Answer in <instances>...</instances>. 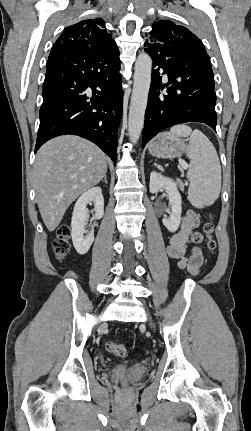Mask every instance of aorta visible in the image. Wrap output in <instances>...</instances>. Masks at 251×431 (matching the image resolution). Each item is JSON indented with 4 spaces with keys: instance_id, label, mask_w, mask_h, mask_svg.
<instances>
[{
    "instance_id": "aorta-1",
    "label": "aorta",
    "mask_w": 251,
    "mask_h": 431,
    "mask_svg": "<svg viewBox=\"0 0 251 431\" xmlns=\"http://www.w3.org/2000/svg\"><path fill=\"white\" fill-rule=\"evenodd\" d=\"M134 84L131 95L128 134L132 143H137L144 125L145 110L151 83L152 60L146 53L137 57L134 67Z\"/></svg>"
}]
</instances>
